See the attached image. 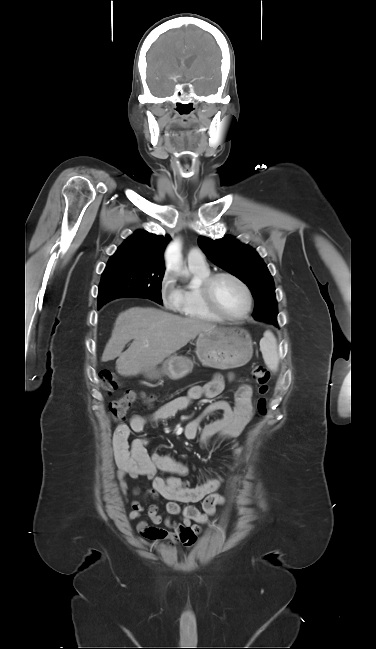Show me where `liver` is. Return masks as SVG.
<instances>
[{"label":"liver","instance_id":"obj_1","mask_svg":"<svg viewBox=\"0 0 376 649\" xmlns=\"http://www.w3.org/2000/svg\"><path fill=\"white\" fill-rule=\"evenodd\" d=\"M215 328V324L153 307H133L118 315L101 360L108 362L118 357L117 372L125 377L136 376L161 364L199 333ZM130 340L132 344L122 353Z\"/></svg>","mask_w":376,"mask_h":649}]
</instances>
